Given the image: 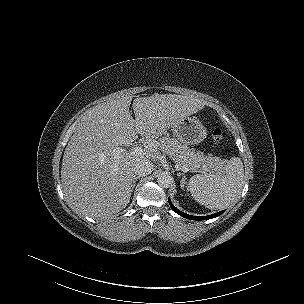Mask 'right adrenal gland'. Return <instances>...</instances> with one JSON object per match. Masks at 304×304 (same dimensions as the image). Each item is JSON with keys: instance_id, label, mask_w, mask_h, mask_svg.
<instances>
[{"instance_id": "right-adrenal-gland-1", "label": "right adrenal gland", "mask_w": 304, "mask_h": 304, "mask_svg": "<svg viewBox=\"0 0 304 304\" xmlns=\"http://www.w3.org/2000/svg\"><path fill=\"white\" fill-rule=\"evenodd\" d=\"M138 177H134V180H133V188L135 187L136 185V181H137Z\"/></svg>"}]
</instances>
